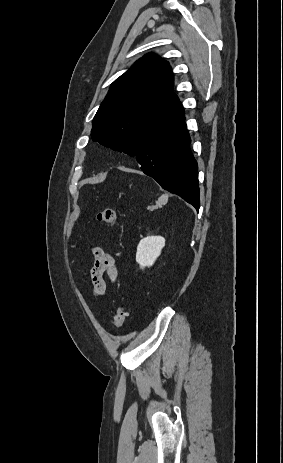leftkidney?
<instances>
[{
  "label": "left kidney",
  "instance_id": "1",
  "mask_svg": "<svg viewBox=\"0 0 283 463\" xmlns=\"http://www.w3.org/2000/svg\"><path fill=\"white\" fill-rule=\"evenodd\" d=\"M165 246V238L162 236H148L143 238L136 252V262L140 268L150 267L161 254L162 248Z\"/></svg>",
  "mask_w": 283,
  "mask_h": 463
}]
</instances>
